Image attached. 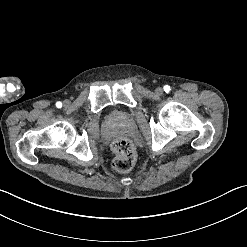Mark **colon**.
<instances>
[{
    "instance_id": "5ec220e1",
    "label": "colon",
    "mask_w": 247,
    "mask_h": 247,
    "mask_svg": "<svg viewBox=\"0 0 247 247\" xmlns=\"http://www.w3.org/2000/svg\"><path fill=\"white\" fill-rule=\"evenodd\" d=\"M113 149L116 152L113 169L118 173H125L131 170L137 159L133 144L127 138H120L113 144Z\"/></svg>"
}]
</instances>
